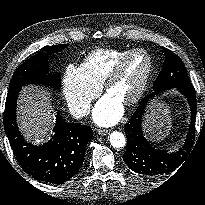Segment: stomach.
I'll list each match as a JSON object with an SVG mask.
<instances>
[{
    "instance_id": "obj_1",
    "label": "stomach",
    "mask_w": 205,
    "mask_h": 205,
    "mask_svg": "<svg viewBox=\"0 0 205 205\" xmlns=\"http://www.w3.org/2000/svg\"><path fill=\"white\" fill-rule=\"evenodd\" d=\"M143 125L151 142H159L166 138L171 130V118L165 102L158 99L150 103L144 115Z\"/></svg>"
}]
</instances>
